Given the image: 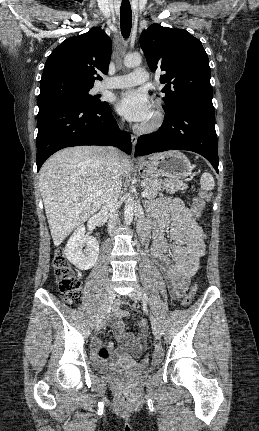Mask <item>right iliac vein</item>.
Listing matches in <instances>:
<instances>
[{
  "label": "right iliac vein",
  "mask_w": 259,
  "mask_h": 431,
  "mask_svg": "<svg viewBox=\"0 0 259 431\" xmlns=\"http://www.w3.org/2000/svg\"><path fill=\"white\" fill-rule=\"evenodd\" d=\"M114 298H115V292L113 290V287H112V285H108L106 288L105 294H104V299H103V303L101 305V309H100L99 314L97 315V318L95 321L96 330L101 329V327L104 323L107 309L109 308V306L113 302Z\"/></svg>",
  "instance_id": "right-iliac-vein-1"
}]
</instances>
